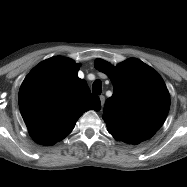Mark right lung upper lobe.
I'll return each mask as SVG.
<instances>
[{
	"mask_svg": "<svg viewBox=\"0 0 187 187\" xmlns=\"http://www.w3.org/2000/svg\"><path fill=\"white\" fill-rule=\"evenodd\" d=\"M78 69L72 59L57 56L38 64L24 79L19 108L35 142L52 145L73 130L85 111L100 110L99 97L91 95Z\"/></svg>",
	"mask_w": 187,
	"mask_h": 187,
	"instance_id": "obj_1",
	"label": "right lung upper lobe"
}]
</instances>
